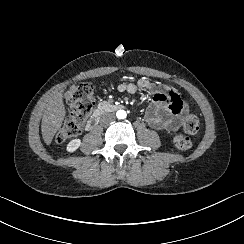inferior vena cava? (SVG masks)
I'll return each instance as SVG.
<instances>
[{
  "label": "inferior vena cava",
  "mask_w": 244,
  "mask_h": 244,
  "mask_svg": "<svg viewBox=\"0 0 244 244\" xmlns=\"http://www.w3.org/2000/svg\"><path fill=\"white\" fill-rule=\"evenodd\" d=\"M115 120V116L113 114H105L102 116L101 121L103 122H112Z\"/></svg>",
  "instance_id": "inferior-vena-cava-1"
}]
</instances>
